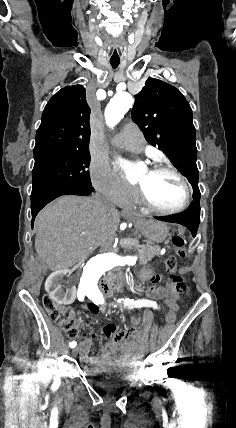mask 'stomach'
<instances>
[{"mask_svg": "<svg viewBox=\"0 0 236 428\" xmlns=\"http://www.w3.org/2000/svg\"><path fill=\"white\" fill-rule=\"evenodd\" d=\"M142 234L147 238L148 242H156V244H160V242H164L166 240L168 234H169V228L164 224V222H158V220H148V222H145L143 228H142ZM147 270H153L154 264L153 263H147L146 266ZM141 271L138 275L140 276V280L143 279L144 282L150 281V276L147 275L148 271Z\"/></svg>", "mask_w": 236, "mask_h": 428, "instance_id": "1", "label": "stomach"}]
</instances>
